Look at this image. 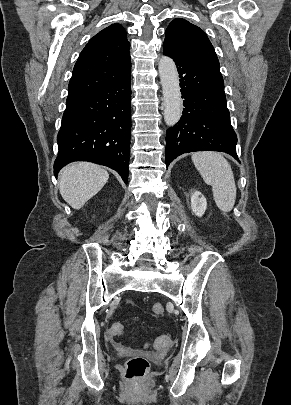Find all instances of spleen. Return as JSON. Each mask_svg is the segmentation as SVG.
<instances>
[{
	"label": "spleen",
	"mask_w": 291,
	"mask_h": 405,
	"mask_svg": "<svg viewBox=\"0 0 291 405\" xmlns=\"http://www.w3.org/2000/svg\"><path fill=\"white\" fill-rule=\"evenodd\" d=\"M192 161L206 184L212 186L217 207L223 212L232 210L236 199V185L229 162L216 152H198Z\"/></svg>",
	"instance_id": "3e777b00"
}]
</instances>
